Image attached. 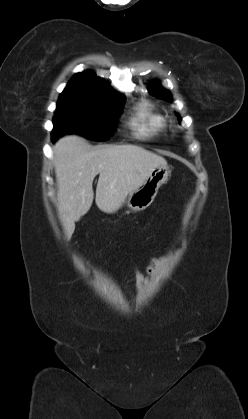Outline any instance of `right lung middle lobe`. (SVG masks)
Instances as JSON below:
<instances>
[{"label": "right lung middle lobe", "mask_w": 248, "mask_h": 419, "mask_svg": "<svg viewBox=\"0 0 248 419\" xmlns=\"http://www.w3.org/2000/svg\"><path fill=\"white\" fill-rule=\"evenodd\" d=\"M124 102L125 97L98 100L62 93L53 117L52 140L66 133H78L96 141L107 140L114 131Z\"/></svg>", "instance_id": "right-lung-middle-lobe-1"}]
</instances>
